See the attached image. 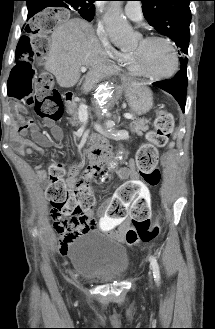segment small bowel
I'll return each mask as SVG.
<instances>
[{"instance_id":"obj_1","label":"small bowel","mask_w":215,"mask_h":329,"mask_svg":"<svg viewBox=\"0 0 215 329\" xmlns=\"http://www.w3.org/2000/svg\"><path fill=\"white\" fill-rule=\"evenodd\" d=\"M46 124L51 127L53 137L45 136L35 127H31L33 140L26 138L29 130L28 126L14 125L13 132L16 149L22 155H30L43 147L52 146L60 138V129L51 121H47ZM79 169V166H74L70 169L68 181L71 184L77 182L76 173ZM36 175L42 179L45 176V172L37 169ZM119 176L121 179L128 180V182H121V187H117V192L99 206L97 214L99 219H106L100 222L102 232H112L113 227H120L116 232L117 239L128 244H135L140 240H129L126 237L129 225L127 218H152V206H149L148 201L151 198L152 189L151 187H146L144 182H141V179L138 178L133 163H130L128 167L121 168ZM51 218L54 225L60 220V216L54 211H51ZM98 228L99 225L93 212H89L86 217L81 218L75 224L62 228V230L58 231L61 235L57 246L58 253L63 256L70 254V246L78 236Z\"/></svg>"}]
</instances>
